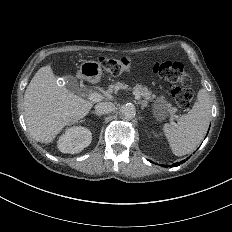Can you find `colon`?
I'll use <instances>...</instances> for the list:
<instances>
[{"instance_id":"colon-1","label":"colon","mask_w":232,"mask_h":232,"mask_svg":"<svg viewBox=\"0 0 232 232\" xmlns=\"http://www.w3.org/2000/svg\"><path fill=\"white\" fill-rule=\"evenodd\" d=\"M104 72L112 75H123L130 68V63L123 56H99L95 62ZM187 66L183 62H159L154 67V72L158 76L167 75L166 82H175L179 86L175 95V111H191L192 100L191 94L196 91V86H188L190 74H184ZM184 79V81H179Z\"/></svg>"}]
</instances>
